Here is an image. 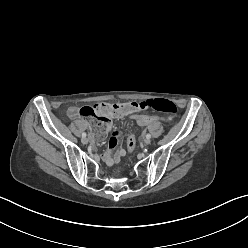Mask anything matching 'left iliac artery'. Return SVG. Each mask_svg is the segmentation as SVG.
<instances>
[{
    "mask_svg": "<svg viewBox=\"0 0 248 248\" xmlns=\"http://www.w3.org/2000/svg\"><path fill=\"white\" fill-rule=\"evenodd\" d=\"M146 138L150 139L151 138V135L150 134H147L146 135Z\"/></svg>",
    "mask_w": 248,
    "mask_h": 248,
    "instance_id": "left-iliac-artery-1",
    "label": "left iliac artery"
}]
</instances>
